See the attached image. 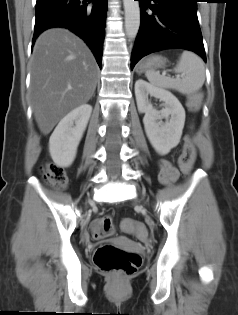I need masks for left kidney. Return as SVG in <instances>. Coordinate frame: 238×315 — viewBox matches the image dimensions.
<instances>
[{
  "label": "left kidney",
  "instance_id": "obj_1",
  "mask_svg": "<svg viewBox=\"0 0 238 315\" xmlns=\"http://www.w3.org/2000/svg\"><path fill=\"white\" fill-rule=\"evenodd\" d=\"M149 95L164 102L160 111L152 106L148 100ZM135 96L138 111L145 113L143 123L151 145L159 154H168L181 139L185 123L183 106L171 92L157 88L143 79H138L135 83ZM163 118L166 122H159Z\"/></svg>",
  "mask_w": 238,
  "mask_h": 315
}]
</instances>
